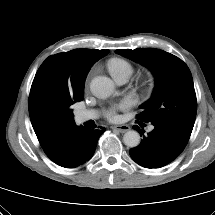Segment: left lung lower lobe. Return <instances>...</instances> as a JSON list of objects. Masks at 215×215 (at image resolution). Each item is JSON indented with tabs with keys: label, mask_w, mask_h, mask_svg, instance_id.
Masks as SVG:
<instances>
[{
	"label": "left lung lower lobe",
	"mask_w": 215,
	"mask_h": 215,
	"mask_svg": "<svg viewBox=\"0 0 215 215\" xmlns=\"http://www.w3.org/2000/svg\"><path fill=\"white\" fill-rule=\"evenodd\" d=\"M152 125L154 130L147 136L143 135L142 142L129 152L137 164L150 169L160 168L172 162L181 154L189 140L165 126ZM133 128L141 133L138 126Z\"/></svg>",
	"instance_id": "1"
}]
</instances>
